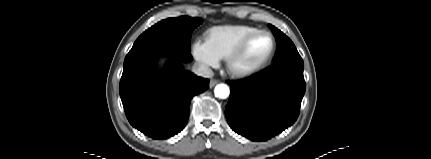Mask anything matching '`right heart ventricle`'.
Instances as JSON below:
<instances>
[{"label": "right heart ventricle", "instance_id": "obj_1", "mask_svg": "<svg viewBox=\"0 0 431 159\" xmlns=\"http://www.w3.org/2000/svg\"><path fill=\"white\" fill-rule=\"evenodd\" d=\"M259 30L250 25H222L208 29L205 42L219 59H226L231 51L248 34Z\"/></svg>", "mask_w": 431, "mask_h": 159}]
</instances>
